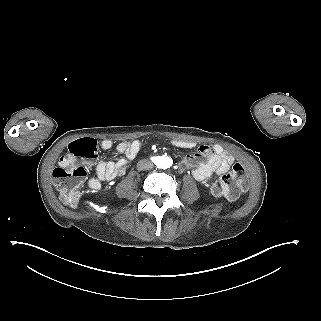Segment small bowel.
Returning <instances> with one entry per match:
<instances>
[{"label": "small bowel", "mask_w": 321, "mask_h": 321, "mask_svg": "<svg viewBox=\"0 0 321 321\" xmlns=\"http://www.w3.org/2000/svg\"><path fill=\"white\" fill-rule=\"evenodd\" d=\"M173 146L192 149L196 144L186 140H172ZM114 143L110 139L101 142V147L105 150L113 148ZM141 148L140 140H123L116 146L119 154H124L126 158H120L115 161L98 160L96 163V178L89 180V186L93 189H99L103 183L112 181L126 171L127 159H133L137 156ZM234 158L219 145H201L193 154L184 156L179 162L181 170L191 169L193 177L200 182H210L214 175L225 173Z\"/></svg>", "instance_id": "1"}]
</instances>
